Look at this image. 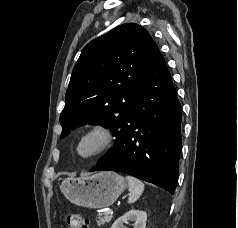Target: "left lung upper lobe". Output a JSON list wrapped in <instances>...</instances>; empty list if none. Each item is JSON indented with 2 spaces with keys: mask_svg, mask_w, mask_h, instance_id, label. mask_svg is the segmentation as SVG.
<instances>
[{
  "mask_svg": "<svg viewBox=\"0 0 238 228\" xmlns=\"http://www.w3.org/2000/svg\"><path fill=\"white\" fill-rule=\"evenodd\" d=\"M158 53L149 32L135 23L120 25L89 42L66 91L61 137L78 125L100 123L111 129L116 144L122 122ZM113 149L100 160L111 156Z\"/></svg>",
  "mask_w": 238,
  "mask_h": 228,
  "instance_id": "1",
  "label": "left lung upper lobe"
}]
</instances>
